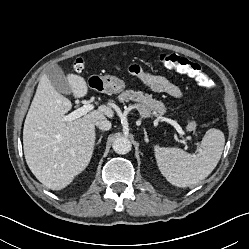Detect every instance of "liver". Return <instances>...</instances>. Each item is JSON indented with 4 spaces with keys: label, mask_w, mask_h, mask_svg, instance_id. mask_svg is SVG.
Wrapping results in <instances>:
<instances>
[{
    "label": "liver",
    "mask_w": 249,
    "mask_h": 249,
    "mask_svg": "<svg viewBox=\"0 0 249 249\" xmlns=\"http://www.w3.org/2000/svg\"><path fill=\"white\" fill-rule=\"evenodd\" d=\"M66 78L75 98L87 95L83 77L68 74ZM71 108V101L56 91L47 75L42 76L25 119L23 148L31 172L52 190L65 188L88 166L96 121L114 115L110 107L101 105L81 118L64 122Z\"/></svg>",
    "instance_id": "1"
}]
</instances>
